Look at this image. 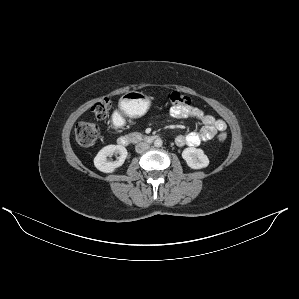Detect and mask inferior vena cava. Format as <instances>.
Returning <instances> with one entry per match:
<instances>
[{"instance_id": "inferior-vena-cava-1", "label": "inferior vena cava", "mask_w": 299, "mask_h": 299, "mask_svg": "<svg viewBox=\"0 0 299 299\" xmlns=\"http://www.w3.org/2000/svg\"><path fill=\"white\" fill-rule=\"evenodd\" d=\"M149 149V144L146 142H140L135 146V150L137 153L145 152Z\"/></svg>"}]
</instances>
